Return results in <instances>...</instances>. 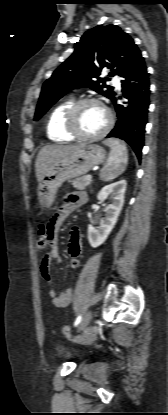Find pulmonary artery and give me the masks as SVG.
Segmentation results:
<instances>
[{
	"label": "pulmonary artery",
	"mask_w": 168,
	"mask_h": 415,
	"mask_svg": "<svg viewBox=\"0 0 168 415\" xmlns=\"http://www.w3.org/2000/svg\"><path fill=\"white\" fill-rule=\"evenodd\" d=\"M113 83H114V85H115L116 88L120 89L121 84H120V80H119V78L117 76L114 77Z\"/></svg>",
	"instance_id": "1"
}]
</instances>
